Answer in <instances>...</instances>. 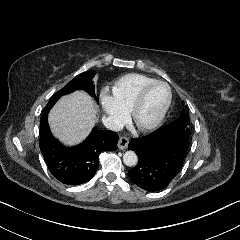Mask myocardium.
Listing matches in <instances>:
<instances>
[{
	"mask_svg": "<svg viewBox=\"0 0 240 240\" xmlns=\"http://www.w3.org/2000/svg\"><path fill=\"white\" fill-rule=\"evenodd\" d=\"M157 85H161L164 86L167 90V96L166 99L160 109V111L157 113V115L155 117H153L152 119H150L149 121H147L146 123H140L138 121V114L141 111L145 99L147 97V95L149 94V92L151 91V89L154 86ZM171 99H172V93H171V89L170 86L166 83V82H162V81H153L152 83L146 85L138 94L136 100L134 101V103L132 104V106L130 107V109H128L126 111V123L127 124H133L135 126L136 131L140 132V133H146V132H150L152 130H154L155 128H157L161 122L163 121L169 106L171 104Z\"/></svg>",
	"mask_w": 240,
	"mask_h": 240,
	"instance_id": "myocardium-1",
	"label": "myocardium"
}]
</instances>
